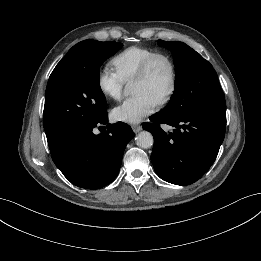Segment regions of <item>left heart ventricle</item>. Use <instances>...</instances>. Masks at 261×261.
Listing matches in <instances>:
<instances>
[{
    "label": "left heart ventricle",
    "mask_w": 261,
    "mask_h": 261,
    "mask_svg": "<svg viewBox=\"0 0 261 261\" xmlns=\"http://www.w3.org/2000/svg\"><path fill=\"white\" fill-rule=\"evenodd\" d=\"M171 80V72L168 63L159 59L153 66L148 78L144 80H134L132 93H145L156 102L166 93Z\"/></svg>",
    "instance_id": "b2bd125f"
}]
</instances>
